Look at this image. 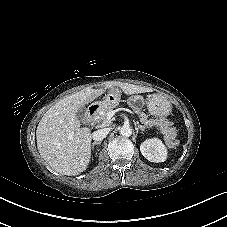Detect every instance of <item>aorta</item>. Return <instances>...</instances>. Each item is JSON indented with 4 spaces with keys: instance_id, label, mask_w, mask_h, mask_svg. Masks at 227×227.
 <instances>
[{
    "instance_id": "762f6f07",
    "label": "aorta",
    "mask_w": 227,
    "mask_h": 227,
    "mask_svg": "<svg viewBox=\"0 0 227 227\" xmlns=\"http://www.w3.org/2000/svg\"><path fill=\"white\" fill-rule=\"evenodd\" d=\"M120 134L124 137H129L132 134V129L129 125H123L120 130Z\"/></svg>"
}]
</instances>
